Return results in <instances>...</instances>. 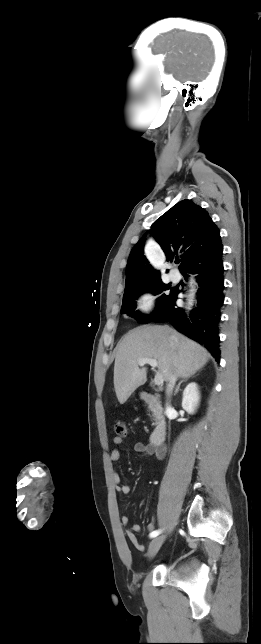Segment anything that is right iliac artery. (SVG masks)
<instances>
[{
  "mask_svg": "<svg viewBox=\"0 0 261 644\" xmlns=\"http://www.w3.org/2000/svg\"><path fill=\"white\" fill-rule=\"evenodd\" d=\"M161 533V530H155L150 534V538H154Z\"/></svg>",
  "mask_w": 261,
  "mask_h": 644,
  "instance_id": "1",
  "label": "right iliac artery"
}]
</instances>
